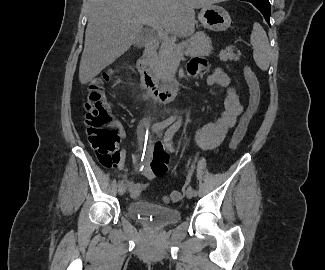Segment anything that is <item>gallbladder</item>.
Wrapping results in <instances>:
<instances>
[{
  "mask_svg": "<svg viewBox=\"0 0 325 270\" xmlns=\"http://www.w3.org/2000/svg\"><path fill=\"white\" fill-rule=\"evenodd\" d=\"M151 40V34L148 31H143L137 41L135 42V46L144 47V45Z\"/></svg>",
  "mask_w": 325,
  "mask_h": 270,
  "instance_id": "1",
  "label": "gallbladder"
}]
</instances>
